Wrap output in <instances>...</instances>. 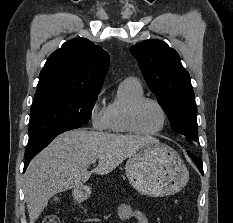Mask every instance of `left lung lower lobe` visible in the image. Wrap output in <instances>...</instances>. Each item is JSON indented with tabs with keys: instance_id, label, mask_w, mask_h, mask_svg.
I'll use <instances>...</instances> for the list:
<instances>
[{
	"instance_id": "1",
	"label": "left lung lower lobe",
	"mask_w": 233,
	"mask_h": 223,
	"mask_svg": "<svg viewBox=\"0 0 233 223\" xmlns=\"http://www.w3.org/2000/svg\"><path fill=\"white\" fill-rule=\"evenodd\" d=\"M188 154H189V156L194 160V162L196 163V165H197L199 171H200L201 174L203 175V164H202V160H201L199 157H197V156L191 154L190 152H188Z\"/></svg>"
}]
</instances>
